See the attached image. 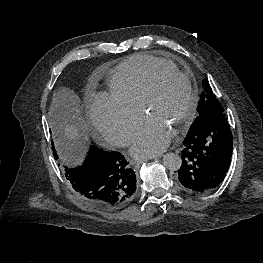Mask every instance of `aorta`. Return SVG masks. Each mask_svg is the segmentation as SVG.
Wrapping results in <instances>:
<instances>
[{"label":"aorta","instance_id":"762f6f07","mask_svg":"<svg viewBox=\"0 0 263 263\" xmlns=\"http://www.w3.org/2000/svg\"><path fill=\"white\" fill-rule=\"evenodd\" d=\"M163 163L166 168L172 171L179 170L182 165V159L175 153H167L163 156Z\"/></svg>","mask_w":263,"mask_h":263}]
</instances>
